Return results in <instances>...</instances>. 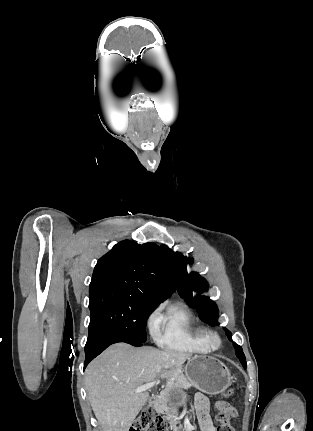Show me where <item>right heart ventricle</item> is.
I'll return each instance as SVG.
<instances>
[{
	"instance_id": "1",
	"label": "right heart ventricle",
	"mask_w": 313,
	"mask_h": 431,
	"mask_svg": "<svg viewBox=\"0 0 313 431\" xmlns=\"http://www.w3.org/2000/svg\"><path fill=\"white\" fill-rule=\"evenodd\" d=\"M207 330L197 325L189 309L180 304L169 306L160 315L156 338L165 348L204 353L210 350L206 343Z\"/></svg>"
}]
</instances>
